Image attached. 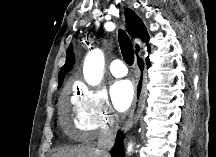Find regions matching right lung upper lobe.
<instances>
[{"label": "right lung upper lobe", "instance_id": "right-lung-upper-lobe-1", "mask_svg": "<svg viewBox=\"0 0 216 157\" xmlns=\"http://www.w3.org/2000/svg\"><path fill=\"white\" fill-rule=\"evenodd\" d=\"M125 17H126V29L128 33L132 37H138L142 41L148 43L149 41V35L147 33V30L142 22V20L139 18V16L131 9L126 8L125 9ZM148 51H150V47L148 46ZM148 59V57H147ZM74 64V54L72 51V46L70 45L67 54H66V62L64 66L61 68L59 72V87L62 85L64 75L71 70Z\"/></svg>", "mask_w": 216, "mask_h": 157}]
</instances>
